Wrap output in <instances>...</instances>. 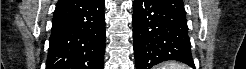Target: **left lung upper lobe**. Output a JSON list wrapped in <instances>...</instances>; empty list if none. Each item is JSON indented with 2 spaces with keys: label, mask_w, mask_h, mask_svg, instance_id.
Wrapping results in <instances>:
<instances>
[{
  "label": "left lung upper lobe",
  "mask_w": 246,
  "mask_h": 69,
  "mask_svg": "<svg viewBox=\"0 0 246 69\" xmlns=\"http://www.w3.org/2000/svg\"><path fill=\"white\" fill-rule=\"evenodd\" d=\"M162 1L165 2L176 12L182 14L183 16H186L184 4L182 0H162Z\"/></svg>",
  "instance_id": "left-lung-upper-lobe-1"
}]
</instances>
